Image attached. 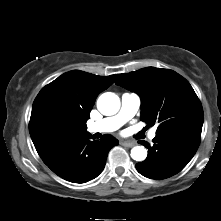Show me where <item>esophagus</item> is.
<instances>
[{
	"label": "esophagus",
	"mask_w": 221,
	"mask_h": 221,
	"mask_svg": "<svg viewBox=\"0 0 221 221\" xmlns=\"http://www.w3.org/2000/svg\"><path fill=\"white\" fill-rule=\"evenodd\" d=\"M121 145L124 147H133L135 145L134 142H130V141H122Z\"/></svg>",
	"instance_id": "1"
}]
</instances>
